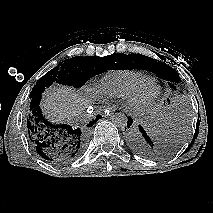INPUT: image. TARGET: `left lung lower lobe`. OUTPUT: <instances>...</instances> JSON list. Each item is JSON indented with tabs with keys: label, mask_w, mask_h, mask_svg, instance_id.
Here are the masks:
<instances>
[{
	"label": "left lung lower lobe",
	"mask_w": 213,
	"mask_h": 213,
	"mask_svg": "<svg viewBox=\"0 0 213 213\" xmlns=\"http://www.w3.org/2000/svg\"><path fill=\"white\" fill-rule=\"evenodd\" d=\"M132 125L133 119L129 118L127 122L129 130L127 131L126 138L131 149L144 157L156 158L162 156L163 148L158 143L155 135L141 125L131 127Z\"/></svg>",
	"instance_id": "left-lung-lower-lobe-1"
}]
</instances>
